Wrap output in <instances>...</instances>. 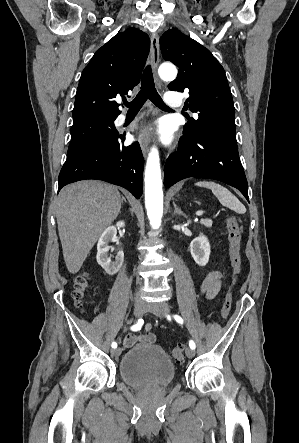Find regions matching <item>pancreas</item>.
Masks as SVG:
<instances>
[{
    "label": "pancreas",
    "mask_w": 299,
    "mask_h": 443,
    "mask_svg": "<svg viewBox=\"0 0 299 443\" xmlns=\"http://www.w3.org/2000/svg\"><path fill=\"white\" fill-rule=\"evenodd\" d=\"M200 222L207 228H211L213 224L211 219H202Z\"/></svg>",
    "instance_id": "obj_1"
}]
</instances>
